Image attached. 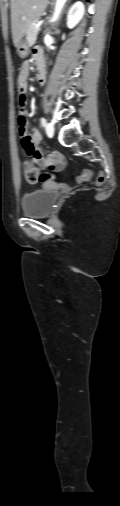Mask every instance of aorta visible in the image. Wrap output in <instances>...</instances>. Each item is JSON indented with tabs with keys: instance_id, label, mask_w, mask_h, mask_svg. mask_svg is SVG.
Here are the masks:
<instances>
[{
	"instance_id": "762f6f07",
	"label": "aorta",
	"mask_w": 120,
	"mask_h": 506,
	"mask_svg": "<svg viewBox=\"0 0 120 506\" xmlns=\"http://www.w3.org/2000/svg\"><path fill=\"white\" fill-rule=\"evenodd\" d=\"M65 2H66V0H56V6H55L54 14L52 17L53 22L59 18V15L61 13V10H62Z\"/></svg>"
}]
</instances>
